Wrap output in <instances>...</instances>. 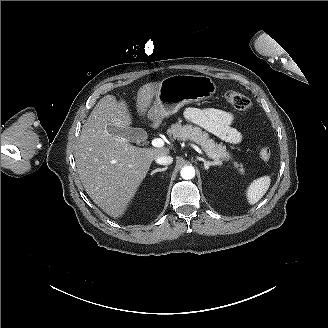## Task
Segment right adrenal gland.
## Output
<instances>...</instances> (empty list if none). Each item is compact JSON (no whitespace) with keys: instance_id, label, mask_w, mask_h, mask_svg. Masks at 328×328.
I'll list each match as a JSON object with an SVG mask.
<instances>
[{"instance_id":"right-adrenal-gland-1","label":"right adrenal gland","mask_w":328,"mask_h":328,"mask_svg":"<svg viewBox=\"0 0 328 328\" xmlns=\"http://www.w3.org/2000/svg\"><path fill=\"white\" fill-rule=\"evenodd\" d=\"M166 169H167V167H164V168H157V169L153 170L151 174H154V173H156V172L165 171Z\"/></svg>"}]
</instances>
